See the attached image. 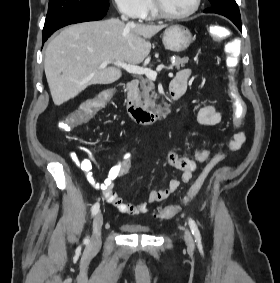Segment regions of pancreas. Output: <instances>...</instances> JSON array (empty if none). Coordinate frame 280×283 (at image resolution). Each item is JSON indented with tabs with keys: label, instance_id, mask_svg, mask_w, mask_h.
Listing matches in <instances>:
<instances>
[{
	"label": "pancreas",
	"instance_id": "1",
	"mask_svg": "<svg viewBox=\"0 0 280 283\" xmlns=\"http://www.w3.org/2000/svg\"><path fill=\"white\" fill-rule=\"evenodd\" d=\"M188 57L175 56L174 63L169 67V69H180L188 63ZM141 92L139 94L141 99V105L145 109H155V101L157 99V94L155 93V84L152 80L148 78H142L140 82Z\"/></svg>",
	"mask_w": 280,
	"mask_h": 283
}]
</instances>
